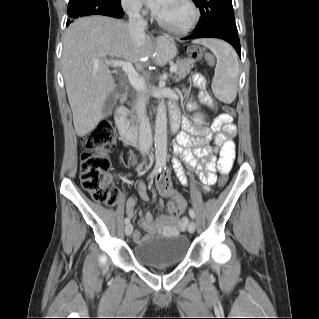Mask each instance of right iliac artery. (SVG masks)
I'll return each instance as SVG.
<instances>
[{
  "label": "right iliac artery",
  "mask_w": 319,
  "mask_h": 319,
  "mask_svg": "<svg viewBox=\"0 0 319 319\" xmlns=\"http://www.w3.org/2000/svg\"><path fill=\"white\" fill-rule=\"evenodd\" d=\"M161 171L160 166H155V168L153 169V171L150 173L149 178L153 177L155 174H157L158 172ZM130 222L129 218H125V223L128 224Z\"/></svg>",
  "instance_id": "1"
}]
</instances>
